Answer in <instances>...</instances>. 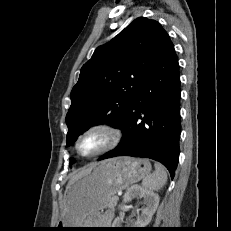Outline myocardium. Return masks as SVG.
<instances>
[{"instance_id": "myocardium-1", "label": "myocardium", "mask_w": 231, "mask_h": 231, "mask_svg": "<svg viewBox=\"0 0 231 231\" xmlns=\"http://www.w3.org/2000/svg\"><path fill=\"white\" fill-rule=\"evenodd\" d=\"M94 131L106 132L109 135V142L99 151L93 154H90V155H84L79 150V142L85 135L91 132H94ZM121 139H122V132L115 125L108 123V122H97V123H93L89 125L77 136L75 140V150H76V153L84 159L97 158V157H100L112 151L114 148H116L118 144L121 142Z\"/></svg>"}]
</instances>
